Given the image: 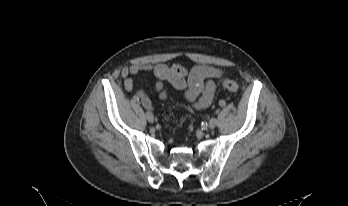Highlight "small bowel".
I'll return each instance as SVG.
<instances>
[{
    "label": "small bowel",
    "instance_id": "1",
    "mask_svg": "<svg viewBox=\"0 0 348 206\" xmlns=\"http://www.w3.org/2000/svg\"><path fill=\"white\" fill-rule=\"evenodd\" d=\"M142 72H150L156 78L157 81L152 92L159 93L160 99L165 100L168 97V90L164 85L166 81L174 88L182 90L187 100L196 109H203L211 104L215 93L214 80L226 74V70L223 68L206 65H198L188 71L180 64L172 66L166 64L153 66L135 64L123 68L121 71L123 85L127 91L134 89L132 76ZM135 98L140 100L145 108L153 109L150 92L139 89L136 91Z\"/></svg>",
    "mask_w": 348,
    "mask_h": 206
}]
</instances>
